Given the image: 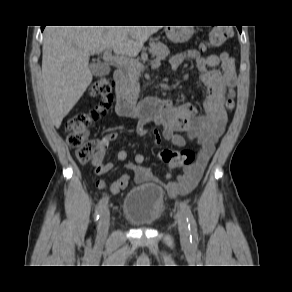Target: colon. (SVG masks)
Instances as JSON below:
<instances>
[{"label": "colon", "mask_w": 292, "mask_h": 292, "mask_svg": "<svg viewBox=\"0 0 292 292\" xmlns=\"http://www.w3.org/2000/svg\"><path fill=\"white\" fill-rule=\"evenodd\" d=\"M232 33V28L228 25L216 27L209 35L208 44L214 47L223 45L232 36ZM90 94L99 98V102L91 111L79 113L69 118L64 126L68 144L76 149V157L81 163H87L94 157L96 145L94 141L88 139V129L98 118L105 115L112 105L113 87L111 80L107 77L98 79L92 84ZM226 106L230 110L234 107V101L231 97H228ZM159 158L168 164L187 166L194 162L195 153L190 149H165L159 153Z\"/></svg>", "instance_id": "1"}]
</instances>
